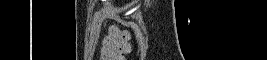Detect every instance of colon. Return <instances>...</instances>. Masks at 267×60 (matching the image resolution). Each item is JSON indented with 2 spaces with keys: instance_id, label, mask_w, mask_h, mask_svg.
Masks as SVG:
<instances>
[{
  "instance_id": "5ec220e1",
  "label": "colon",
  "mask_w": 267,
  "mask_h": 60,
  "mask_svg": "<svg viewBox=\"0 0 267 60\" xmlns=\"http://www.w3.org/2000/svg\"><path fill=\"white\" fill-rule=\"evenodd\" d=\"M130 49V35L124 30L116 29L105 37L101 57L104 60H123Z\"/></svg>"
}]
</instances>
